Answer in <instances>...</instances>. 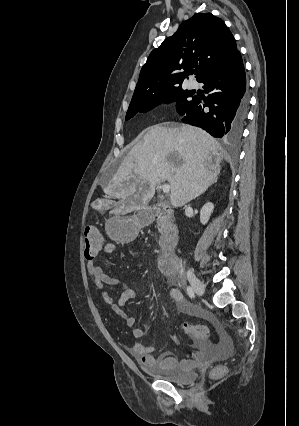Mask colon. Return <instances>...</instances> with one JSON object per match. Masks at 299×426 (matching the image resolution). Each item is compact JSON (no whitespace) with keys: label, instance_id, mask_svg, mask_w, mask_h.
<instances>
[{"label":"colon","instance_id":"obj_1","mask_svg":"<svg viewBox=\"0 0 299 426\" xmlns=\"http://www.w3.org/2000/svg\"><path fill=\"white\" fill-rule=\"evenodd\" d=\"M104 245V240L96 227L88 226L84 235V255L87 260L94 259L101 251ZM184 331L196 340H205L208 336V328L203 325H193L185 323ZM226 373V368L217 366L211 371L212 379L222 378Z\"/></svg>","mask_w":299,"mask_h":426}]
</instances>
